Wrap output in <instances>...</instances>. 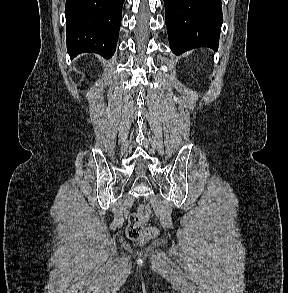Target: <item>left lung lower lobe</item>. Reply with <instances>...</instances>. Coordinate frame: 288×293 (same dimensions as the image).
Returning <instances> with one entry per match:
<instances>
[{
    "mask_svg": "<svg viewBox=\"0 0 288 293\" xmlns=\"http://www.w3.org/2000/svg\"><path fill=\"white\" fill-rule=\"evenodd\" d=\"M170 47L179 55L197 47L218 49L221 0H164Z\"/></svg>",
    "mask_w": 288,
    "mask_h": 293,
    "instance_id": "1",
    "label": "left lung lower lobe"
}]
</instances>
